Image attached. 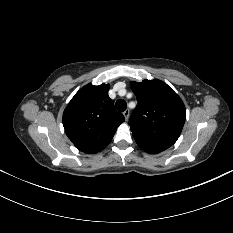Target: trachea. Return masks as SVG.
Returning <instances> with one entry per match:
<instances>
[{"instance_id":"obj_1","label":"trachea","mask_w":233,"mask_h":233,"mask_svg":"<svg viewBox=\"0 0 233 233\" xmlns=\"http://www.w3.org/2000/svg\"><path fill=\"white\" fill-rule=\"evenodd\" d=\"M115 106H116V109H117L118 111L123 112V111H125V110H126L127 103H126V101H125V100H123V99H119V100H117V101H116Z\"/></svg>"}]
</instances>
